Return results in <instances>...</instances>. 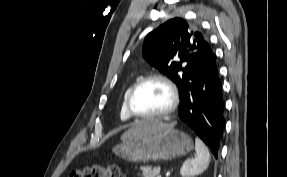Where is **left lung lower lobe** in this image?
Segmentation results:
<instances>
[{
  "label": "left lung lower lobe",
  "mask_w": 287,
  "mask_h": 177,
  "mask_svg": "<svg viewBox=\"0 0 287 177\" xmlns=\"http://www.w3.org/2000/svg\"><path fill=\"white\" fill-rule=\"evenodd\" d=\"M223 112L222 85L216 55L212 52L189 83L184 85L178 115L205 142L216 158L225 125Z\"/></svg>",
  "instance_id": "0a47b994"
}]
</instances>
